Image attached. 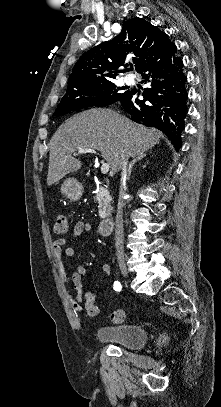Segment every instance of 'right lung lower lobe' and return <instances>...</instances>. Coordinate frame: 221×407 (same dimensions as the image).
<instances>
[{"mask_svg": "<svg viewBox=\"0 0 221 407\" xmlns=\"http://www.w3.org/2000/svg\"><path fill=\"white\" fill-rule=\"evenodd\" d=\"M144 83L143 100L140 92L128 91L117 102L131 115L133 121L164 132L176 149L182 145L181 132L187 110V78L183 72L182 60L177 56V48L171 42L164 55L141 72Z\"/></svg>", "mask_w": 221, "mask_h": 407, "instance_id": "right-lung-lower-lobe-1", "label": "right lung lower lobe"}]
</instances>
